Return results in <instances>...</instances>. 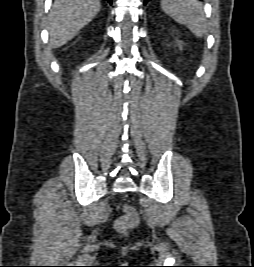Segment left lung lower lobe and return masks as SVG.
I'll use <instances>...</instances> for the list:
<instances>
[{
    "mask_svg": "<svg viewBox=\"0 0 254 267\" xmlns=\"http://www.w3.org/2000/svg\"><path fill=\"white\" fill-rule=\"evenodd\" d=\"M150 0H144V5H146L147 4V2H149Z\"/></svg>",
    "mask_w": 254,
    "mask_h": 267,
    "instance_id": "1",
    "label": "left lung lower lobe"
}]
</instances>
